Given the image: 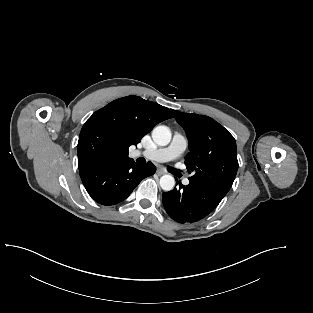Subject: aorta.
Masks as SVG:
<instances>
[{
	"label": "aorta",
	"mask_w": 313,
	"mask_h": 313,
	"mask_svg": "<svg viewBox=\"0 0 313 313\" xmlns=\"http://www.w3.org/2000/svg\"><path fill=\"white\" fill-rule=\"evenodd\" d=\"M153 141L159 146H166L171 141V131L167 126H157L152 131ZM175 179L171 175H163L160 178V186L164 191H171L174 188Z\"/></svg>",
	"instance_id": "1"
}]
</instances>
